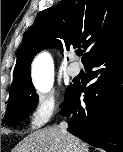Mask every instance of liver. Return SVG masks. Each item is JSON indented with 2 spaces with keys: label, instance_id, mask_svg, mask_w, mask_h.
<instances>
[{
  "label": "liver",
  "instance_id": "liver-1",
  "mask_svg": "<svg viewBox=\"0 0 123 152\" xmlns=\"http://www.w3.org/2000/svg\"><path fill=\"white\" fill-rule=\"evenodd\" d=\"M12 152H88V146L58 127H48L25 137Z\"/></svg>",
  "mask_w": 123,
  "mask_h": 152
}]
</instances>
